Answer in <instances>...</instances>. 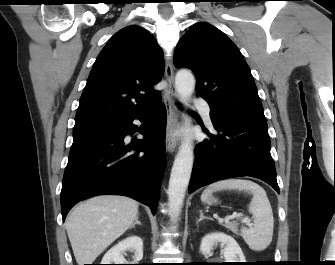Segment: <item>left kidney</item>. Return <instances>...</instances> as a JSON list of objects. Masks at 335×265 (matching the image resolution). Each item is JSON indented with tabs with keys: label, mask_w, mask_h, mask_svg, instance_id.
Masks as SVG:
<instances>
[{
	"label": "left kidney",
	"mask_w": 335,
	"mask_h": 265,
	"mask_svg": "<svg viewBox=\"0 0 335 265\" xmlns=\"http://www.w3.org/2000/svg\"><path fill=\"white\" fill-rule=\"evenodd\" d=\"M218 243L224 246L223 254L226 262H245L244 254L236 240L232 236L222 232H215L204 236L200 245L201 253L203 255L210 254Z\"/></svg>",
	"instance_id": "obj_1"
}]
</instances>
